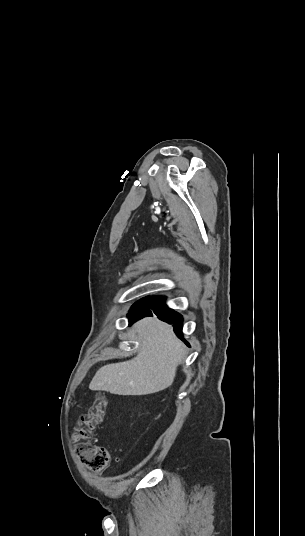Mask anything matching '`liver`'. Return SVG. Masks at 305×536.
Instances as JSON below:
<instances>
[{"mask_svg":"<svg viewBox=\"0 0 305 536\" xmlns=\"http://www.w3.org/2000/svg\"><path fill=\"white\" fill-rule=\"evenodd\" d=\"M140 346L129 362L109 364L96 372L89 390H103L119 396H145L169 388L178 364L185 358L184 344L172 326L158 318H144L133 326Z\"/></svg>","mask_w":305,"mask_h":536,"instance_id":"obj_1","label":"liver"}]
</instances>
